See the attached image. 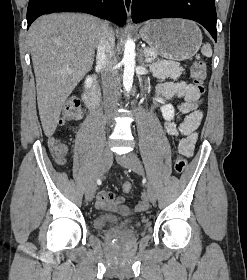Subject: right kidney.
<instances>
[{
	"label": "right kidney",
	"mask_w": 247,
	"mask_h": 280,
	"mask_svg": "<svg viewBox=\"0 0 247 280\" xmlns=\"http://www.w3.org/2000/svg\"><path fill=\"white\" fill-rule=\"evenodd\" d=\"M91 85H92V80H91V78L87 77L86 80H85L86 88H90Z\"/></svg>",
	"instance_id": "right-kidney-1"
}]
</instances>
